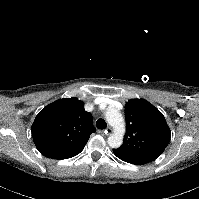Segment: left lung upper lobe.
I'll use <instances>...</instances> for the list:
<instances>
[{
    "instance_id": "1",
    "label": "left lung upper lobe",
    "mask_w": 199,
    "mask_h": 199,
    "mask_svg": "<svg viewBox=\"0 0 199 199\" xmlns=\"http://www.w3.org/2000/svg\"><path fill=\"white\" fill-rule=\"evenodd\" d=\"M125 117L123 144L113 151L143 163L158 158L171 138L163 114L144 99H131L125 105Z\"/></svg>"
}]
</instances>
